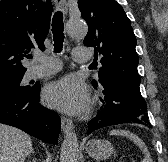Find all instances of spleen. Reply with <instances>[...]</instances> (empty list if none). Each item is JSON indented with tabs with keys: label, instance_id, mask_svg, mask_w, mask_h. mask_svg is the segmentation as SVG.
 I'll return each instance as SVG.
<instances>
[{
	"label": "spleen",
	"instance_id": "1",
	"mask_svg": "<svg viewBox=\"0 0 168 162\" xmlns=\"http://www.w3.org/2000/svg\"><path fill=\"white\" fill-rule=\"evenodd\" d=\"M110 135L124 136L129 138L137 146H139L142 153L144 154V159L142 160V162H153L145 143L137 135L127 130H118V129H113L112 131H110Z\"/></svg>",
	"mask_w": 168,
	"mask_h": 162
}]
</instances>
